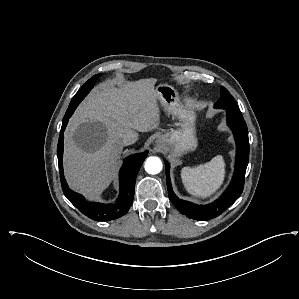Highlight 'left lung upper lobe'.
<instances>
[{"label": "left lung upper lobe", "instance_id": "obj_1", "mask_svg": "<svg viewBox=\"0 0 299 299\" xmlns=\"http://www.w3.org/2000/svg\"><path fill=\"white\" fill-rule=\"evenodd\" d=\"M220 99L215 103V108H223L232 110L236 113H241L233 96L229 93V91L225 87H221L220 89Z\"/></svg>", "mask_w": 299, "mask_h": 299}]
</instances>
